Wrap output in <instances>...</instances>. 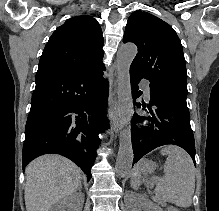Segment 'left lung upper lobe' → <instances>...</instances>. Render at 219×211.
Instances as JSON below:
<instances>
[{
    "label": "left lung upper lobe",
    "mask_w": 219,
    "mask_h": 211,
    "mask_svg": "<svg viewBox=\"0 0 219 211\" xmlns=\"http://www.w3.org/2000/svg\"><path fill=\"white\" fill-rule=\"evenodd\" d=\"M138 47L130 71L139 73L150 85L186 105L187 72L183 48L173 28L160 18L135 11L128 19L123 43Z\"/></svg>",
    "instance_id": "obj_1"
}]
</instances>
